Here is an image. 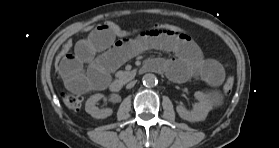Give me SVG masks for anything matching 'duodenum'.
<instances>
[{"label": "duodenum", "mask_w": 279, "mask_h": 148, "mask_svg": "<svg viewBox=\"0 0 279 148\" xmlns=\"http://www.w3.org/2000/svg\"><path fill=\"white\" fill-rule=\"evenodd\" d=\"M151 69H152V64H151L150 61H149V62L145 63L143 66H141V67L139 68V72H140V73H143V72L148 71V70H151ZM123 85H124V83H123L122 80H120V79H115V80H113V81L111 82L109 88H110V90L113 91V92H118V91H120V90L122 89Z\"/></svg>", "instance_id": "duodenum-1"}]
</instances>
